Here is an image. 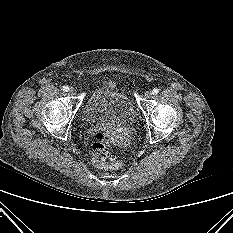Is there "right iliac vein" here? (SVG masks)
I'll return each instance as SVG.
<instances>
[{"label": "right iliac vein", "mask_w": 233, "mask_h": 233, "mask_svg": "<svg viewBox=\"0 0 233 233\" xmlns=\"http://www.w3.org/2000/svg\"><path fill=\"white\" fill-rule=\"evenodd\" d=\"M69 93H70L71 95H74V94H75V89H74V88H70V89H69Z\"/></svg>", "instance_id": "63e3f726"}]
</instances>
